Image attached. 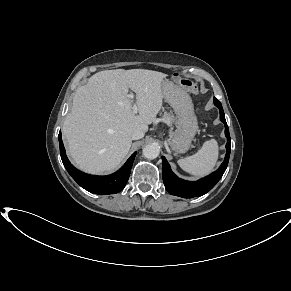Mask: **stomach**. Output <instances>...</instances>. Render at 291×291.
<instances>
[{
    "label": "stomach",
    "mask_w": 291,
    "mask_h": 291,
    "mask_svg": "<svg viewBox=\"0 0 291 291\" xmlns=\"http://www.w3.org/2000/svg\"><path fill=\"white\" fill-rule=\"evenodd\" d=\"M162 90L165 100L174 109L178 121V128L170 135L169 144L174 152L185 153L198 131L192 100L179 84L164 81Z\"/></svg>",
    "instance_id": "0dacf381"
}]
</instances>
